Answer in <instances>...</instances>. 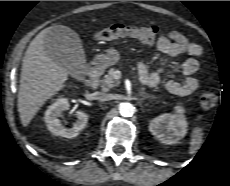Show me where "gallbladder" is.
<instances>
[{"label": "gallbladder", "instance_id": "obj_1", "mask_svg": "<svg viewBox=\"0 0 230 186\" xmlns=\"http://www.w3.org/2000/svg\"><path fill=\"white\" fill-rule=\"evenodd\" d=\"M44 46L47 54L76 79H83L86 59L81 40L68 27L53 26L46 34Z\"/></svg>", "mask_w": 230, "mask_h": 186}]
</instances>
